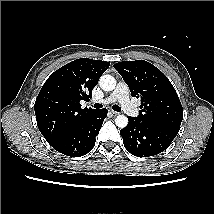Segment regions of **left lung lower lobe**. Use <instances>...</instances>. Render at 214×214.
I'll return each instance as SVG.
<instances>
[{"mask_svg":"<svg viewBox=\"0 0 214 214\" xmlns=\"http://www.w3.org/2000/svg\"><path fill=\"white\" fill-rule=\"evenodd\" d=\"M129 123L120 131L128 152L138 157H149L169 147L179 131L128 117Z\"/></svg>","mask_w":214,"mask_h":214,"instance_id":"0a47b994","label":"left lung lower lobe"}]
</instances>
